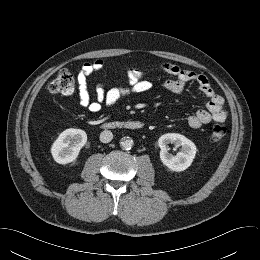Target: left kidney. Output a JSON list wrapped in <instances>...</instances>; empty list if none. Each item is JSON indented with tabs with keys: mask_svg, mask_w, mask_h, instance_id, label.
I'll return each mask as SVG.
<instances>
[{
	"mask_svg": "<svg viewBox=\"0 0 260 260\" xmlns=\"http://www.w3.org/2000/svg\"><path fill=\"white\" fill-rule=\"evenodd\" d=\"M174 144L181 147V151L176 155L168 152V144ZM160 147V159L162 163L170 170L181 172L186 170L193 162L196 155L195 144L185 136L177 133H167L158 140Z\"/></svg>",
	"mask_w": 260,
	"mask_h": 260,
	"instance_id": "5707ae66",
	"label": "left kidney"
}]
</instances>
